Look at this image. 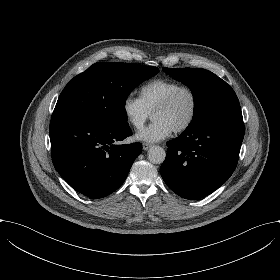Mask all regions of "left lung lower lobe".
<instances>
[{
  "instance_id": "0a47b994",
  "label": "left lung lower lobe",
  "mask_w": 280,
  "mask_h": 280,
  "mask_svg": "<svg viewBox=\"0 0 280 280\" xmlns=\"http://www.w3.org/2000/svg\"><path fill=\"white\" fill-rule=\"evenodd\" d=\"M244 137L241 110L187 128L167 142L160 172L168 187L186 199L203 198L232 175Z\"/></svg>"
}]
</instances>
